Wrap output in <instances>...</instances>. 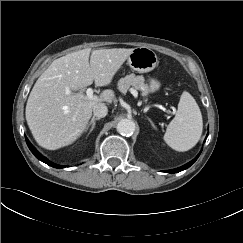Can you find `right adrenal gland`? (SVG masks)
Masks as SVG:
<instances>
[{"instance_id": "right-adrenal-gland-1", "label": "right adrenal gland", "mask_w": 243, "mask_h": 243, "mask_svg": "<svg viewBox=\"0 0 243 243\" xmlns=\"http://www.w3.org/2000/svg\"><path fill=\"white\" fill-rule=\"evenodd\" d=\"M99 119H100V118H95V117H93V118L91 119V121L87 124V126H86V130H85V131H87L88 128L91 126V128H90V130H89V132H88V135L93 131V129H94V127H95V124H96V121L99 120Z\"/></svg>"}]
</instances>
